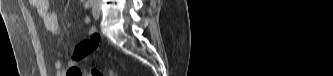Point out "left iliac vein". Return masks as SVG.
Listing matches in <instances>:
<instances>
[{"mask_svg": "<svg viewBox=\"0 0 333 76\" xmlns=\"http://www.w3.org/2000/svg\"><path fill=\"white\" fill-rule=\"evenodd\" d=\"M92 15L95 19H98L100 17V11L98 4H94L93 9H92Z\"/></svg>", "mask_w": 333, "mask_h": 76, "instance_id": "4c4485c4", "label": "left iliac vein"}]
</instances>
